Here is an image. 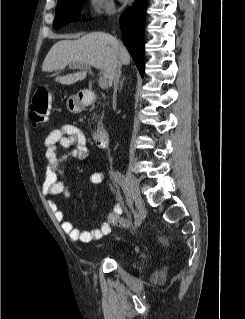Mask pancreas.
<instances>
[{
	"instance_id": "cf45deb5",
	"label": "pancreas",
	"mask_w": 245,
	"mask_h": 319,
	"mask_svg": "<svg viewBox=\"0 0 245 319\" xmlns=\"http://www.w3.org/2000/svg\"><path fill=\"white\" fill-rule=\"evenodd\" d=\"M103 107H104V105H103ZM103 117H104V111L101 112V115H97L95 113L93 114V119H99L100 122L102 121Z\"/></svg>"
}]
</instances>
